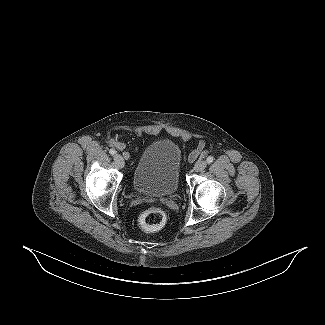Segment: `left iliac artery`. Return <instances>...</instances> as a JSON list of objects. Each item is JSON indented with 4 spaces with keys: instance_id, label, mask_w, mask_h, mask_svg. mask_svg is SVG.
Instances as JSON below:
<instances>
[{
    "instance_id": "obj_1",
    "label": "left iliac artery",
    "mask_w": 325,
    "mask_h": 325,
    "mask_svg": "<svg viewBox=\"0 0 325 325\" xmlns=\"http://www.w3.org/2000/svg\"><path fill=\"white\" fill-rule=\"evenodd\" d=\"M213 160H214V158H213V156H209L208 158H207V163H212L213 162Z\"/></svg>"
}]
</instances>
